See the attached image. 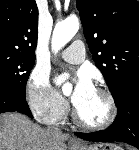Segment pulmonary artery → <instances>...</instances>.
Instances as JSON below:
<instances>
[{"label": "pulmonary artery", "instance_id": "e3ab8cb5", "mask_svg": "<svg viewBox=\"0 0 139 150\" xmlns=\"http://www.w3.org/2000/svg\"><path fill=\"white\" fill-rule=\"evenodd\" d=\"M62 59L72 64H79L85 58V47L81 40L74 41L61 53Z\"/></svg>", "mask_w": 139, "mask_h": 150}]
</instances>
